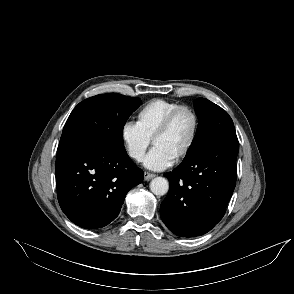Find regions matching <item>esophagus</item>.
<instances>
[{
  "label": "esophagus",
  "instance_id": "1",
  "mask_svg": "<svg viewBox=\"0 0 294 294\" xmlns=\"http://www.w3.org/2000/svg\"><path fill=\"white\" fill-rule=\"evenodd\" d=\"M155 176H156L155 174H152V173H149V172H144V180L145 181H149L152 178H154Z\"/></svg>",
  "mask_w": 294,
  "mask_h": 294
}]
</instances>
